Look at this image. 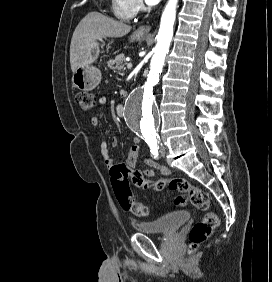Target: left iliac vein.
Wrapping results in <instances>:
<instances>
[{
    "label": "left iliac vein",
    "instance_id": "4c4485c4",
    "mask_svg": "<svg viewBox=\"0 0 272 282\" xmlns=\"http://www.w3.org/2000/svg\"><path fill=\"white\" fill-rule=\"evenodd\" d=\"M160 153L162 157H164L166 154V146L164 144H161Z\"/></svg>",
    "mask_w": 272,
    "mask_h": 282
}]
</instances>
